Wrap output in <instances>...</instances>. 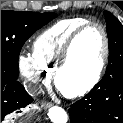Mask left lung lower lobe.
<instances>
[{
	"label": "left lung lower lobe",
	"instance_id": "1",
	"mask_svg": "<svg viewBox=\"0 0 123 123\" xmlns=\"http://www.w3.org/2000/svg\"><path fill=\"white\" fill-rule=\"evenodd\" d=\"M71 123H123V79L96 85L69 109Z\"/></svg>",
	"mask_w": 123,
	"mask_h": 123
}]
</instances>
